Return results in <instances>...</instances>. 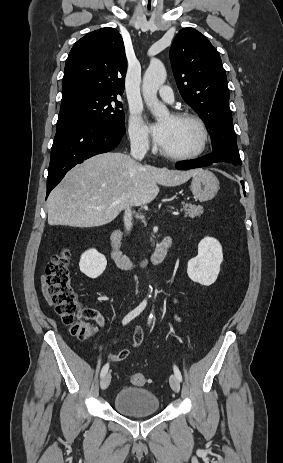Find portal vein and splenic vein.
<instances>
[{
  "mask_svg": "<svg viewBox=\"0 0 283 463\" xmlns=\"http://www.w3.org/2000/svg\"><path fill=\"white\" fill-rule=\"evenodd\" d=\"M172 214H173V215H178L179 213H178V212H173Z\"/></svg>",
  "mask_w": 283,
  "mask_h": 463,
  "instance_id": "1",
  "label": "portal vein and splenic vein"
}]
</instances>
